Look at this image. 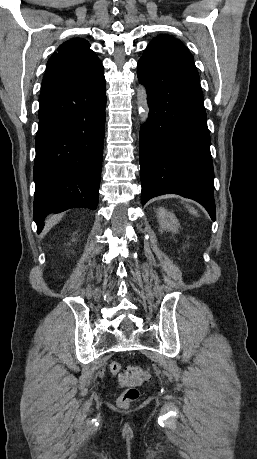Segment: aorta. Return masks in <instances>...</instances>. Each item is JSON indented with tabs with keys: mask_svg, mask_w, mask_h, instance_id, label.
<instances>
[{
	"mask_svg": "<svg viewBox=\"0 0 257 459\" xmlns=\"http://www.w3.org/2000/svg\"><path fill=\"white\" fill-rule=\"evenodd\" d=\"M137 105L139 108V117L142 123H146L149 115V106L147 100V92L143 85L137 88Z\"/></svg>",
	"mask_w": 257,
	"mask_h": 459,
	"instance_id": "1",
	"label": "aorta"
}]
</instances>
